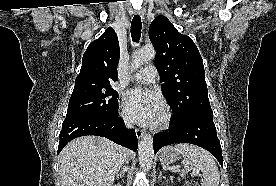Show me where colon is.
Wrapping results in <instances>:
<instances>
[{
  "instance_id": "5ec220e1",
  "label": "colon",
  "mask_w": 276,
  "mask_h": 186,
  "mask_svg": "<svg viewBox=\"0 0 276 186\" xmlns=\"http://www.w3.org/2000/svg\"><path fill=\"white\" fill-rule=\"evenodd\" d=\"M185 186H195V185L188 183Z\"/></svg>"
}]
</instances>
